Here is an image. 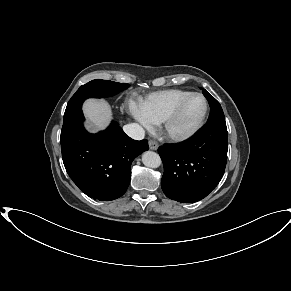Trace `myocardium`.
I'll return each instance as SVG.
<instances>
[{
	"mask_svg": "<svg viewBox=\"0 0 291 291\" xmlns=\"http://www.w3.org/2000/svg\"><path fill=\"white\" fill-rule=\"evenodd\" d=\"M193 97H200L204 103V109L200 119L191 129L184 132H175L173 129L175 122L179 118L184 107ZM208 110H209L208 101L202 94L196 92L190 93L174 108V110L162 122L161 130L163 136L171 142H184L191 139L203 128L207 119Z\"/></svg>",
	"mask_w": 291,
	"mask_h": 291,
	"instance_id": "myocardium-1",
	"label": "myocardium"
}]
</instances>
